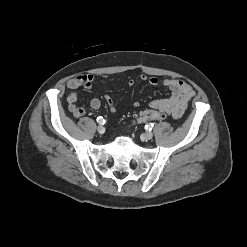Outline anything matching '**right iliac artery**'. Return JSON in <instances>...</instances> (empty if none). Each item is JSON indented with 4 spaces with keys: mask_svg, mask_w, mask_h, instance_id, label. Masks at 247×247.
<instances>
[{
    "mask_svg": "<svg viewBox=\"0 0 247 247\" xmlns=\"http://www.w3.org/2000/svg\"><path fill=\"white\" fill-rule=\"evenodd\" d=\"M97 122L101 125L105 123V120L103 119V117L99 116L97 117Z\"/></svg>",
    "mask_w": 247,
    "mask_h": 247,
    "instance_id": "82829eb1",
    "label": "right iliac artery"
}]
</instances>
